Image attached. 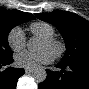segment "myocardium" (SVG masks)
Here are the masks:
<instances>
[{
  "mask_svg": "<svg viewBox=\"0 0 89 89\" xmlns=\"http://www.w3.org/2000/svg\"><path fill=\"white\" fill-rule=\"evenodd\" d=\"M43 40L45 42H47L51 47H53L54 49V57L56 58H61L66 51V45L63 41L54 38V37H47V38H43Z\"/></svg>",
  "mask_w": 89,
  "mask_h": 89,
  "instance_id": "f54148a6",
  "label": "myocardium"
}]
</instances>
